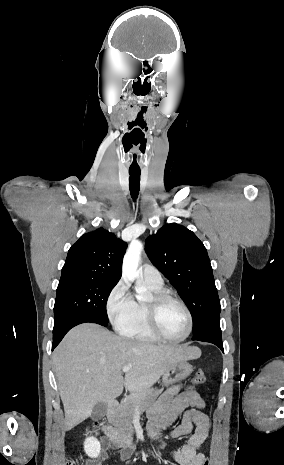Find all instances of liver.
<instances>
[{"label":"liver","instance_id":"obj_1","mask_svg":"<svg viewBox=\"0 0 284 465\" xmlns=\"http://www.w3.org/2000/svg\"><path fill=\"white\" fill-rule=\"evenodd\" d=\"M198 347L151 345L113 335L94 323L71 329L54 351L53 363L65 411V431L110 403L123 389H150L180 361L199 359ZM123 367H131L123 377Z\"/></svg>","mask_w":284,"mask_h":465}]
</instances>
